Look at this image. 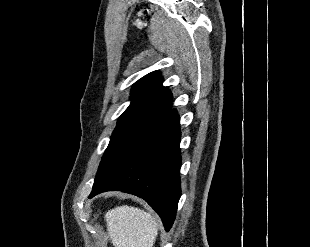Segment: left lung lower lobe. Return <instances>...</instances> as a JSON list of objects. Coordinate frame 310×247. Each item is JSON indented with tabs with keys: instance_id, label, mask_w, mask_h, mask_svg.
Returning <instances> with one entry per match:
<instances>
[{
	"instance_id": "0a47b994",
	"label": "left lung lower lobe",
	"mask_w": 310,
	"mask_h": 247,
	"mask_svg": "<svg viewBox=\"0 0 310 247\" xmlns=\"http://www.w3.org/2000/svg\"><path fill=\"white\" fill-rule=\"evenodd\" d=\"M179 126L177 111L172 109L144 129L94 182L89 198L110 190L137 195L160 215L169 231L181 196Z\"/></svg>"
}]
</instances>
